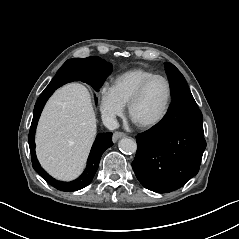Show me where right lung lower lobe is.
Returning <instances> with one entry per match:
<instances>
[{
  "label": "right lung lower lobe",
  "instance_id": "right-lung-lower-lobe-1",
  "mask_svg": "<svg viewBox=\"0 0 239 239\" xmlns=\"http://www.w3.org/2000/svg\"><path fill=\"white\" fill-rule=\"evenodd\" d=\"M111 71V63H107L105 60L96 56L84 59H69L59 69L35 104L33 120L28 136V142L32 155V165L34 170L45 181L58 190L66 192L80 190L92 181L98 169L101 155L106 149L113 145L112 133H101L97 135L88 158L87 167L79 178L71 182L58 181L51 177L40 166L35 154V131L42 109L48 98L60 86L68 82L80 80L90 84L96 91H98Z\"/></svg>",
  "mask_w": 239,
  "mask_h": 239
}]
</instances>
